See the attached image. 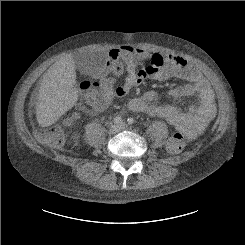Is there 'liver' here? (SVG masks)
I'll return each mask as SVG.
<instances>
[{
	"instance_id": "liver-1",
	"label": "liver",
	"mask_w": 245,
	"mask_h": 245,
	"mask_svg": "<svg viewBox=\"0 0 245 245\" xmlns=\"http://www.w3.org/2000/svg\"><path fill=\"white\" fill-rule=\"evenodd\" d=\"M75 61L66 55L45 73L36 105V118L41 127L54 124L77 102Z\"/></svg>"
}]
</instances>
